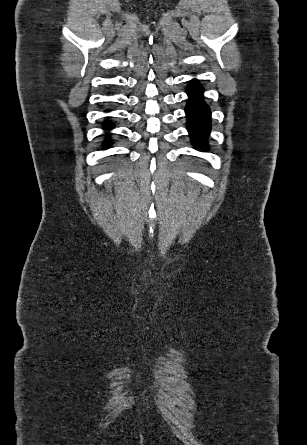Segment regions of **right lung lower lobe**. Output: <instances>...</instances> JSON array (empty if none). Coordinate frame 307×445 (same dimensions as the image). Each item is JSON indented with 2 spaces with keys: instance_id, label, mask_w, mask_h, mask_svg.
Returning a JSON list of instances; mask_svg holds the SVG:
<instances>
[{
  "instance_id": "98d812e1",
  "label": "right lung lower lobe",
  "mask_w": 307,
  "mask_h": 445,
  "mask_svg": "<svg viewBox=\"0 0 307 445\" xmlns=\"http://www.w3.org/2000/svg\"><path fill=\"white\" fill-rule=\"evenodd\" d=\"M113 125L110 123V122H106L105 124H104V128H106V129H108V128H111ZM110 144V142H106L105 143V146H108Z\"/></svg>"
}]
</instances>
